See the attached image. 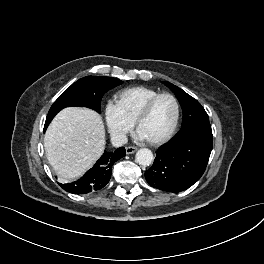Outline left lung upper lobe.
I'll return each instance as SVG.
<instances>
[{"instance_id": "1", "label": "left lung upper lobe", "mask_w": 264, "mask_h": 264, "mask_svg": "<svg viewBox=\"0 0 264 264\" xmlns=\"http://www.w3.org/2000/svg\"><path fill=\"white\" fill-rule=\"evenodd\" d=\"M178 98L183 111V122L179 133H186L200 125L210 124L209 118L201 104L179 87L164 82Z\"/></svg>"}]
</instances>
